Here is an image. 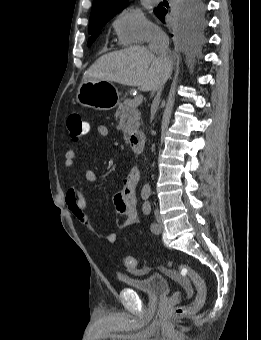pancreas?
Returning <instances> with one entry per match:
<instances>
[{"instance_id":"cf45deb5","label":"pancreas","mask_w":261,"mask_h":340,"mask_svg":"<svg viewBox=\"0 0 261 340\" xmlns=\"http://www.w3.org/2000/svg\"><path fill=\"white\" fill-rule=\"evenodd\" d=\"M130 99H124L123 103H119L116 117L122 116L123 122V133L126 139L134 130H137L140 126V113L136 107L130 106Z\"/></svg>"}]
</instances>
